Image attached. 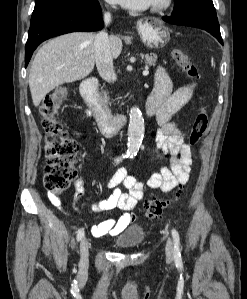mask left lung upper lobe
Returning <instances> with one entry per match:
<instances>
[{"instance_id":"5c2ea615","label":"left lung upper lobe","mask_w":247,"mask_h":299,"mask_svg":"<svg viewBox=\"0 0 247 299\" xmlns=\"http://www.w3.org/2000/svg\"><path fill=\"white\" fill-rule=\"evenodd\" d=\"M190 8H198L216 14L212 0H175L172 14H177Z\"/></svg>"}]
</instances>
